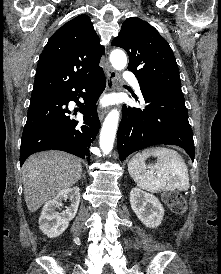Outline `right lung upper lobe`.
Returning <instances> with one entry per match:
<instances>
[{"label": "right lung upper lobe", "mask_w": 221, "mask_h": 274, "mask_svg": "<svg viewBox=\"0 0 221 274\" xmlns=\"http://www.w3.org/2000/svg\"><path fill=\"white\" fill-rule=\"evenodd\" d=\"M104 47L90 18L79 15L59 28L40 55L31 100L60 93L101 70Z\"/></svg>", "instance_id": "1"}]
</instances>
